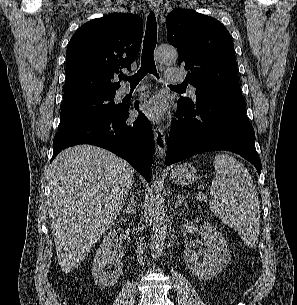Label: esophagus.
Listing matches in <instances>:
<instances>
[{
	"label": "esophagus",
	"instance_id": "obj_1",
	"mask_svg": "<svg viewBox=\"0 0 297 305\" xmlns=\"http://www.w3.org/2000/svg\"><path fill=\"white\" fill-rule=\"evenodd\" d=\"M150 7L157 13L159 9V0H148ZM154 143H155V155L158 159L162 158L165 153V128L164 126H158L154 128Z\"/></svg>",
	"mask_w": 297,
	"mask_h": 305
}]
</instances>
